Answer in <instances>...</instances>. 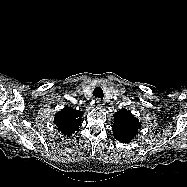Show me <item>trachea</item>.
<instances>
[{"label": "trachea", "mask_w": 187, "mask_h": 187, "mask_svg": "<svg viewBox=\"0 0 187 187\" xmlns=\"http://www.w3.org/2000/svg\"><path fill=\"white\" fill-rule=\"evenodd\" d=\"M93 96H95L96 98H99V99H103V90L101 87L97 86L95 87L94 91H93Z\"/></svg>", "instance_id": "1"}]
</instances>
